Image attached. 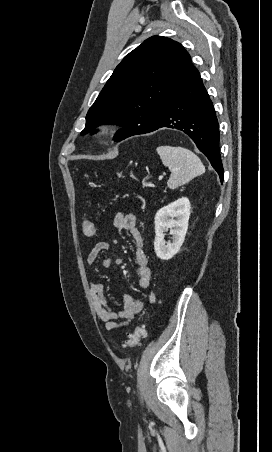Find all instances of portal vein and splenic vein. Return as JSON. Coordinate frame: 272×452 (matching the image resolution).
Wrapping results in <instances>:
<instances>
[{
	"instance_id": "portal-vein-and-splenic-vein-1",
	"label": "portal vein and splenic vein",
	"mask_w": 272,
	"mask_h": 452,
	"mask_svg": "<svg viewBox=\"0 0 272 452\" xmlns=\"http://www.w3.org/2000/svg\"><path fill=\"white\" fill-rule=\"evenodd\" d=\"M162 178H163V176H162V175H160V176H159V180H162Z\"/></svg>"
}]
</instances>
